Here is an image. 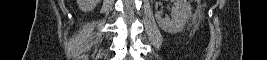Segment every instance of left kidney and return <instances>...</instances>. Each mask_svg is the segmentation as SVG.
Instances as JSON below:
<instances>
[{"instance_id": "left-kidney-1", "label": "left kidney", "mask_w": 267, "mask_h": 60, "mask_svg": "<svg viewBox=\"0 0 267 60\" xmlns=\"http://www.w3.org/2000/svg\"><path fill=\"white\" fill-rule=\"evenodd\" d=\"M171 17L163 18L162 11H156L155 18L159 27L168 33L180 32L191 17V5L187 0H173Z\"/></svg>"}]
</instances>
